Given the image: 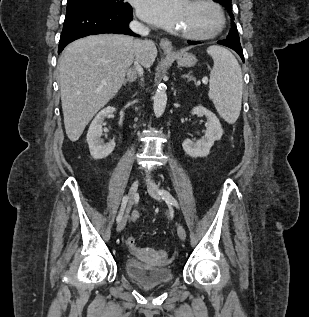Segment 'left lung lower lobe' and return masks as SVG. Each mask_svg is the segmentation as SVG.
I'll use <instances>...</instances> for the list:
<instances>
[{
  "instance_id": "obj_1",
  "label": "left lung lower lobe",
  "mask_w": 309,
  "mask_h": 317,
  "mask_svg": "<svg viewBox=\"0 0 309 317\" xmlns=\"http://www.w3.org/2000/svg\"><path fill=\"white\" fill-rule=\"evenodd\" d=\"M189 44L195 45V44H199L200 42H196V41H188ZM218 44L227 46L231 49H233L234 51H236L239 56L241 57V59L244 62V56H243V52H242V48H241V44L240 43H235L231 40L228 39H223L217 42Z\"/></svg>"
}]
</instances>
